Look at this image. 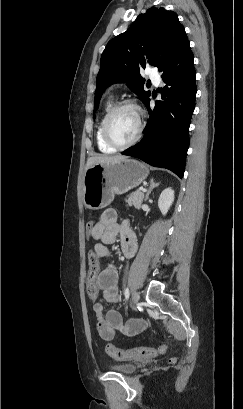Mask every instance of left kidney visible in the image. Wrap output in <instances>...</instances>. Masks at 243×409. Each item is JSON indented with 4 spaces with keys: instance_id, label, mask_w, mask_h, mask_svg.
I'll return each instance as SVG.
<instances>
[{
    "instance_id": "obj_1",
    "label": "left kidney",
    "mask_w": 243,
    "mask_h": 409,
    "mask_svg": "<svg viewBox=\"0 0 243 409\" xmlns=\"http://www.w3.org/2000/svg\"><path fill=\"white\" fill-rule=\"evenodd\" d=\"M174 201V191L171 188H166L160 194L158 206L163 215H166L170 206Z\"/></svg>"
}]
</instances>
